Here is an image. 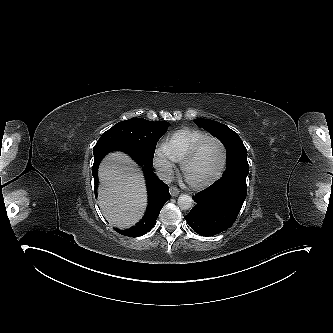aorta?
Here are the masks:
<instances>
[{
  "label": "aorta",
  "mask_w": 333,
  "mask_h": 333,
  "mask_svg": "<svg viewBox=\"0 0 333 333\" xmlns=\"http://www.w3.org/2000/svg\"><path fill=\"white\" fill-rule=\"evenodd\" d=\"M177 203L182 210H188L192 207L193 199L187 194H182L179 196Z\"/></svg>",
  "instance_id": "obj_1"
}]
</instances>
